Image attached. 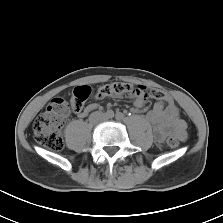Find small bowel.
I'll list each match as a JSON object with an SVG mask.
<instances>
[{
	"instance_id": "obj_1",
	"label": "small bowel",
	"mask_w": 223,
	"mask_h": 223,
	"mask_svg": "<svg viewBox=\"0 0 223 223\" xmlns=\"http://www.w3.org/2000/svg\"><path fill=\"white\" fill-rule=\"evenodd\" d=\"M133 103L137 108H142L144 106L143 100L139 98H136ZM96 109L97 104L91 103L79 112L78 116L82 118L86 117L90 112ZM146 118L153 126L155 138L159 143L169 134L176 135L180 140H185L187 137L186 123L180 117L178 108L174 102L172 106H167L163 99L156 101L153 108L147 113Z\"/></svg>"
}]
</instances>
